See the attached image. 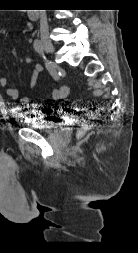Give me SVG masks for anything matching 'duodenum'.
<instances>
[{
	"mask_svg": "<svg viewBox=\"0 0 138 253\" xmlns=\"http://www.w3.org/2000/svg\"><path fill=\"white\" fill-rule=\"evenodd\" d=\"M37 14H38L37 9H30V10L28 11V16H29V18L32 19V20H34V19L37 18Z\"/></svg>",
	"mask_w": 138,
	"mask_h": 253,
	"instance_id": "duodenum-1",
	"label": "duodenum"
}]
</instances>
